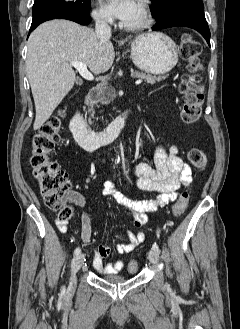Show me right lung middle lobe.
<instances>
[{
  "label": "right lung middle lobe",
  "instance_id": "obj_1",
  "mask_svg": "<svg viewBox=\"0 0 240 329\" xmlns=\"http://www.w3.org/2000/svg\"><path fill=\"white\" fill-rule=\"evenodd\" d=\"M90 0H35L33 10L38 8H58L90 14Z\"/></svg>",
  "mask_w": 240,
  "mask_h": 329
}]
</instances>
